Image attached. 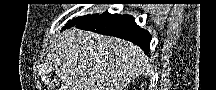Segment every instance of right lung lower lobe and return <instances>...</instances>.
Segmentation results:
<instances>
[{
    "instance_id": "right-lung-lower-lobe-1",
    "label": "right lung lower lobe",
    "mask_w": 216,
    "mask_h": 90,
    "mask_svg": "<svg viewBox=\"0 0 216 90\" xmlns=\"http://www.w3.org/2000/svg\"><path fill=\"white\" fill-rule=\"evenodd\" d=\"M73 25L83 30L131 41L138 45L145 54H149L151 35L147 30L140 28L132 16L105 12L87 20L71 23L65 28Z\"/></svg>"
}]
</instances>
